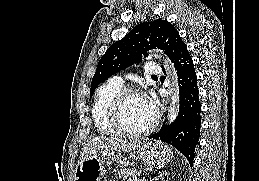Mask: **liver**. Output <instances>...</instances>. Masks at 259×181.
I'll return each mask as SVG.
<instances>
[{
  "mask_svg": "<svg viewBox=\"0 0 259 181\" xmlns=\"http://www.w3.org/2000/svg\"><path fill=\"white\" fill-rule=\"evenodd\" d=\"M139 145V141L128 142L113 136H98L93 138L83 147L80 157L82 159L86 154L95 153L98 151L107 153L131 152L139 147Z\"/></svg>",
  "mask_w": 259,
  "mask_h": 181,
  "instance_id": "liver-1",
  "label": "liver"
}]
</instances>
